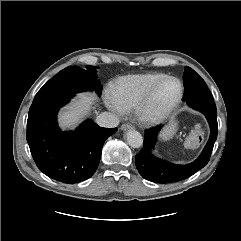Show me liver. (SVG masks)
<instances>
[{
    "instance_id": "liver-1",
    "label": "liver",
    "mask_w": 241,
    "mask_h": 241,
    "mask_svg": "<svg viewBox=\"0 0 241 241\" xmlns=\"http://www.w3.org/2000/svg\"><path fill=\"white\" fill-rule=\"evenodd\" d=\"M95 96L90 93H81L72 105L61 112L60 125L65 128H73L90 112L95 103Z\"/></svg>"
}]
</instances>
